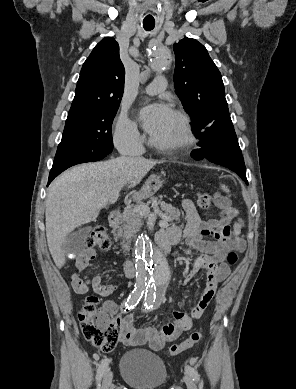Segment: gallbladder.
Segmentation results:
<instances>
[{"mask_svg":"<svg viewBox=\"0 0 296 389\" xmlns=\"http://www.w3.org/2000/svg\"><path fill=\"white\" fill-rule=\"evenodd\" d=\"M90 228H83L70 233L62 245L63 251L67 255H79L83 251V241Z\"/></svg>","mask_w":296,"mask_h":389,"instance_id":"bac80fb5","label":"gallbladder"}]
</instances>
